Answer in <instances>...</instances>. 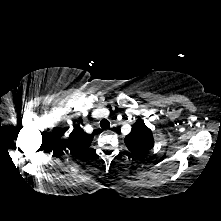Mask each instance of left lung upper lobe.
I'll return each mask as SVG.
<instances>
[{"mask_svg": "<svg viewBox=\"0 0 221 221\" xmlns=\"http://www.w3.org/2000/svg\"><path fill=\"white\" fill-rule=\"evenodd\" d=\"M127 148L134 154L140 155L151 150L154 139L151 130L146 127L144 121L138 118L133 125L132 131L125 138Z\"/></svg>", "mask_w": 221, "mask_h": 221, "instance_id": "left-lung-upper-lobe-1", "label": "left lung upper lobe"}]
</instances>
